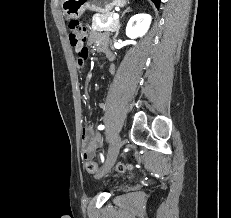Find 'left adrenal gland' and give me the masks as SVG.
I'll return each instance as SVG.
<instances>
[{"label": "left adrenal gland", "mask_w": 231, "mask_h": 218, "mask_svg": "<svg viewBox=\"0 0 231 218\" xmlns=\"http://www.w3.org/2000/svg\"><path fill=\"white\" fill-rule=\"evenodd\" d=\"M128 11H130V8H129V7L123 12V15H124L126 12H128ZM119 29H120V25L118 26V28H117V30H116L115 37L118 36V34H119Z\"/></svg>", "instance_id": "left-adrenal-gland-1"}]
</instances>
